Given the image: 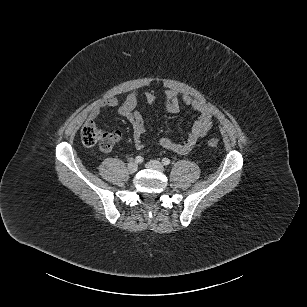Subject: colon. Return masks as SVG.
Returning <instances> with one entry per match:
<instances>
[{"instance_id": "obj_1", "label": "colon", "mask_w": 307, "mask_h": 307, "mask_svg": "<svg viewBox=\"0 0 307 307\" xmlns=\"http://www.w3.org/2000/svg\"><path fill=\"white\" fill-rule=\"evenodd\" d=\"M119 139V132H103L94 122H86L81 129V140L83 144L86 146L98 145L103 152L110 151ZM207 144L210 147H217L218 140L216 138H210Z\"/></svg>"}]
</instances>
